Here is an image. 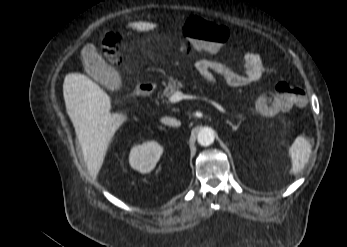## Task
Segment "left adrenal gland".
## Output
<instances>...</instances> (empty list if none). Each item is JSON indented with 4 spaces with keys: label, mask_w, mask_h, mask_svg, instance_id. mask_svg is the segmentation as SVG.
Here are the masks:
<instances>
[{
    "label": "left adrenal gland",
    "mask_w": 347,
    "mask_h": 247,
    "mask_svg": "<svg viewBox=\"0 0 347 247\" xmlns=\"http://www.w3.org/2000/svg\"><path fill=\"white\" fill-rule=\"evenodd\" d=\"M226 122H227V124H229V125L232 127V130H233V131H236V130L239 128V126H240L242 120L240 119V120L238 121L237 125H234V124H233L232 122H230L229 120H226Z\"/></svg>",
    "instance_id": "1"
}]
</instances>
